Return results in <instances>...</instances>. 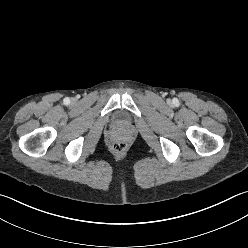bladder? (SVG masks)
I'll return each mask as SVG.
<instances>
[{
    "label": "bladder",
    "mask_w": 248,
    "mask_h": 248,
    "mask_svg": "<svg viewBox=\"0 0 248 248\" xmlns=\"http://www.w3.org/2000/svg\"><path fill=\"white\" fill-rule=\"evenodd\" d=\"M116 121L124 120V115L121 112H118L115 117Z\"/></svg>",
    "instance_id": "obj_1"
}]
</instances>
